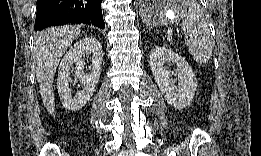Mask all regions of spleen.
I'll return each mask as SVG.
<instances>
[{
    "label": "spleen",
    "instance_id": "1",
    "mask_svg": "<svg viewBox=\"0 0 261 156\" xmlns=\"http://www.w3.org/2000/svg\"><path fill=\"white\" fill-rule=\"evenodd\" d=\"M167 8L174 10L167 6ZM181 26L185 32V43L193 59L206 63L212 55L211 33L203 18L200 5L194 1H184L181 10Z\"/></svg>",
    "mask_w": 261,
    "mask_h": 156
}]
</instances>
